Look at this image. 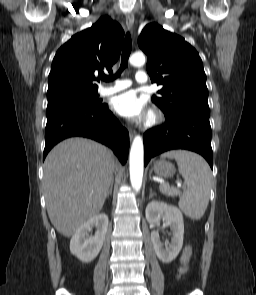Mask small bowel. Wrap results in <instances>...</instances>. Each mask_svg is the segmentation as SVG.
I'll list each match as a JSON object with an SVG mask.
<instances>
[{
  "label": "small bowel",
  "instance_id": "1",
  "mask_svg": "<svg viewBox=\"0 0 256 295\" xmlns=\"http://www.w3.org/2000/svg\"><path fill=\"white\" fill-rule=\"evenodd\" d=\"M191 252H192V250H191L190 246L185 247V249H184V251L182 253V256H181V264H182V266H181V268L179 270V273H184L185 272L186 264L189 261V258L191 256Z\"/></svg>",
  "mask_w": 256,
  "mask_h": 295
}]
</instances>
